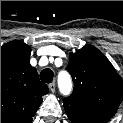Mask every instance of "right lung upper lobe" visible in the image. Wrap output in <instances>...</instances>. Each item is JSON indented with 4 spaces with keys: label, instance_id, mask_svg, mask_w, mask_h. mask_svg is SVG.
<instances>
[{
    "label": "right lung upper lobe",
    "instance_id": "1",
    "mask_svg": "<svg viewBox=\"0 0 123 123\" xmlns=\"http://www.w3.org/2000/svg\"><path fill=\"white\" fill-rule=\"evenodd\" d=\"M30 52L19 40L1 47V123H31L49 91L29 63Z\"/></svg>",
    "mask_w": 123,
    "mask_h": 123
}]
</instances>
